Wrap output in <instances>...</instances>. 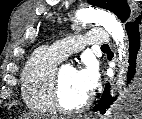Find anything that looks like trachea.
Wrapping results in <instances>:
<instances>
[{"label": "trachea", "instance_id": "obj_1", "mask_svg": "<svg viewBox=\"0 0 142 119\" xmlns=\"http://www.w3.org/2000/svg\"><path fill=\"white\" fill-rule=\"evenodd\" d=\"M101 48L102 49H109V46L108 45H102Z\"/></svg>", "mask_w": 142, "mask_h": 119}]
</instances>
